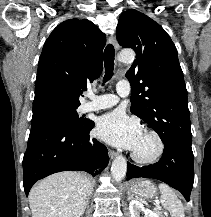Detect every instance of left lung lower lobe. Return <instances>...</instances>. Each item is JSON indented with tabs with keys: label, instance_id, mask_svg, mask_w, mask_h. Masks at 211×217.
Instances as JSON below:
<instances>
[{
	"label": "left lung lower lobe",
	"instance_id": "left-lung-lower-lobe-1",
	"mask_svg": "<svg viewBox=\"0 0 211 217\" xmlns=\"http://www.w3.org/2000/svg\"><path fill=\"white\" fill-rule=\"evenodd\" d=\"M163 143L164 152L159 162L144 167L127 163V180L135 177L161 180L179 190L189 201L194 183L191 143L175 138L165 140Z\"/></svg>",
	"mask_w": 211,
	"mask_h": 217
}]
</instances>
